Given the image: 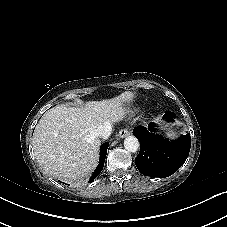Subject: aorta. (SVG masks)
<instances>
[{
  "instance_id": "aorta-1",
  "label": "aorta",
  "mask_w": 227,
  "mask_h": 227,
  "mask_svg": "<svg viewBox=\"0 0 227 227\" xmlns=\"http://www.w3.org/2000/svg\"><path fill=\"white\" fill-rule=\"evenodd\" d=\"M139 141L134 136H128L124 140V147L128 152H137L139 149Z\"/></svg>"
}]
</instances>
